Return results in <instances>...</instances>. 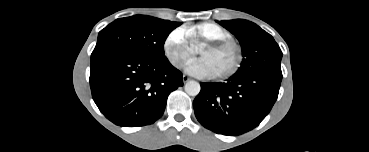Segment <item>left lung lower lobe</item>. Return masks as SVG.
Segmentation results:
<instances>
[{"label": "left lung lower lobe", "mask_w": 369, "mask_h": 152, "mask_svg": "<svg viewBox=\"0 0 369 152\" xmlns=\"http://www.w3.org/2000/svg\"><path fill=\"white\" fill-rule=\"evenodd\" d=\"M282 74L233 75L225 82L200 83L193 102L197 120L215 133L235 136L252 130L268 115Z\"/></svg>", "instance_id": "1"}]
</instances>
